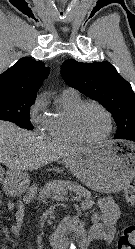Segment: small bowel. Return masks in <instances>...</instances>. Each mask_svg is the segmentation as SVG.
Instances as JSON below:
<instances>
[{
  "label": "small bowel",
  "instance_id": "obj_1",
  "mask_svg": "<svg viewBox=\"0 0 135 249\" xmlns=\"http://www.w3.org/2000/svg\"><path fill=\"white\" fill-rule=\"evenodd\" d=\"M98 205L100 208V214L92 217L93 224L90 230V236L94 239L111 242L114 236V224L120 215L119 208L111 197H102L99 199ZM7 209L9 211H16V221L12 226V230L16 235H18L20 233V225L25 217L24 207L21 204L8 202ZM3 249L7 248L4 247Z\"/></svg>",
  "mask_w": 135,
  "mask_h": 249
}]
</instances>
